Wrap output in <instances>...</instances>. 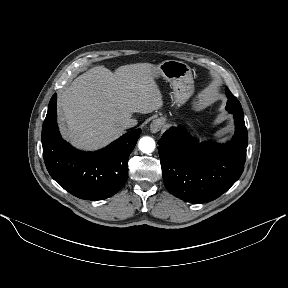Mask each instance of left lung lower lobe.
Masks as SVG:
<instances>
[{"mask_svg":"<svg viewBox=\"0 0 288 288\" xmlns=\"http://www.w3.org/2000/svg\"><path fill=\"white\" fill-rule=\"evenodd\" d=\"M232 114L235 136L224 145L199 144L181 127L163 134L158 152L164 183L171 194L190 203L210 202L239 179L246 161L248 135L244 116Z\"/></svg>","mask_w":288,"mask_h":288,"instance_id":"0a47b994","label":"left lung lower lobe"}]
</instances>
